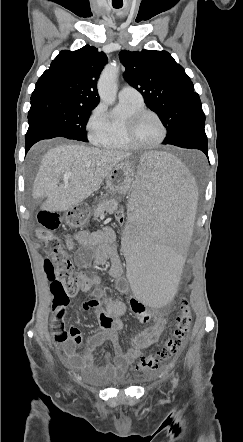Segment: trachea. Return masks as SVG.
Returning <instances> with one entry per match:
<instances>
[{"label": "trachea", "instance_id": "1", "mask_svg": "<svg viewBox=\"0 0 243 442\" xmlns=\"http://www.w3.org/2000/svg\"><path fill=\"white\" fill-rule=\"evenodd\" d=\"M122 6H114L115 9H120Z\"/></svg>", "mask_w": 243, "mask_h": 442}]
</instances>
